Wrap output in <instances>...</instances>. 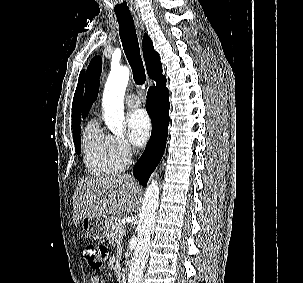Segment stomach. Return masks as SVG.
Wrapping results in <instances>:
<instances>
[{
    "label": "stomach",
    "mask_w": 303,
    "mask_h": 283,
    "mask_svg": "<svg viewBox=\"0 0 303 283\" xmlns=\"http://www.w3.org/2000/svg\"><path fill=\"white\" fill-rule=\"evenodd\" d=\"M113 219L104 216L84 217L81 220L84 236L95 240L104 239L111 231Z\"/></svg>",
    "instance_id": "0dacf381"
}]
</instances>
